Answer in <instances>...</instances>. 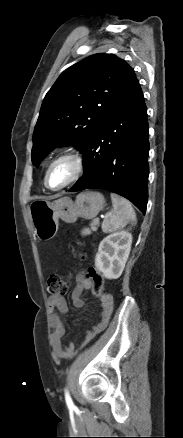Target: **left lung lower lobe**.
<instances>
[{
  "label": "left lung lower lobe",
  "instance_id": "1",
  "mask_svg": "<svg viewBox=\"0 0 183 438\" xmlns=\"http://www.w3.org/2000/svg\"><path fill=\"white\" fill-rule=\"evenodd\" d=\"M147 109L138 80L99 125L84 148V175L69 190L105 189L143 213L148 201Z\"/></svg>",
  "mask_w": 183,
  "mask_h": 438
}]
</instances>
